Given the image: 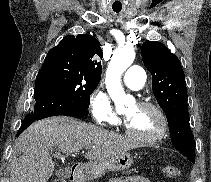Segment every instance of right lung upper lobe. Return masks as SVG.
<instances>
[{
  "label": "right lung upper lobe",
  "instance_id": "cb5924a9",
  "mask_svg": "<svg viewBox=\"0 0 211 182\" xmlns=\"http://www.w3.org/2000/svg\"><path fill=\"white\" fill-rule=\"evenodd\" d=\"M100 46V42L91 35H68L48 52L42 67L61 65L88 79L100 81L102 66L96 60L103 56Z\"/></svg>",
  "mask_w": 211,
  "mask_h": 182
}]
</instances>
